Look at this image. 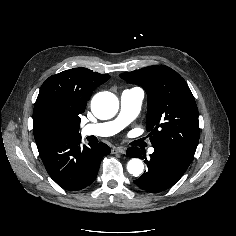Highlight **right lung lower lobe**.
Wrapping results in <instances>:
<instances>
[{
  "label": "right lung lower lobe",
  "mask_w": 236,
  "mask_h": 236,
  "mask_svg": "<svg viewBox=\"0 0 236 236\" xmlns=\"http://www.w3.org/2000/svg\"><path fill=\"white\" fill-rule=\"evenodd\" d=\"M81 134L50 138L36 143L51 178L63 189L78 191L96 178L101 160L110 154L104 143L80 146Z\"/></svg>",
  "instance_id": "1"
}]
</instances>
